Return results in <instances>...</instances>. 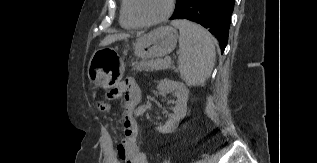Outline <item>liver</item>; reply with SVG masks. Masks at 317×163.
Returning <instances> with one entry per match:
<instances>
[{
    "mask_svg": "<svg viewBox=\"0 0 317 163\" xmlns=\"http://www.w3.org/2000/svg\"><path fill=\"white\" fill-rule=\"evenodd\" d=\"M128 37H129V35H127V34L108 35L100 42V46H107V45L114 43L115 41L126 39Z\"/></svg>",
    "mask_w": 317,
    "mask_h": 163,
    "instance_id": "obj_1",
    "label": "liver"
}]
</instances>
